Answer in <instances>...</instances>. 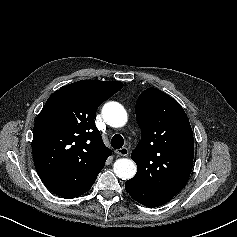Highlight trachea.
<instances>
[{"label": "trachea", "instance_id": "obj_1", "mask_svg": "<svg viewBox=\"0 0 237 237\" xmlns=\"http://www.w3.org/2000/svg\"><path fill=\"white\" fill-rule=\"evenodd\" d=\"M111 146L115 149H120L124 145V138L120 134H115L111 139Z\"/></svg>", "mask_w": 237, "mask_h": 237}]
</instances>
